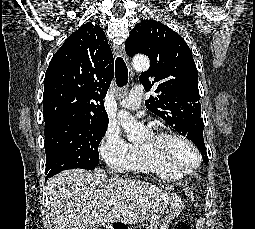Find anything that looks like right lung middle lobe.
I'll list each match as a JSON object with an SVG mask.
<instances>
[{
	"instance_id": "right-lung-middle-lobe-1",
	"label": "right lung middle lobe",
	"mask_w": 255,
	"mask_h": 229,
	"mask_svg": "<svg viewBox=\"0 0 255 229\" xmlns=\"http://www.w3.org/2000/svg\"><path fill=\"white\" fill-rule=\"evenodd\" d=\"M107 127V120L45 123L48 177L67 169H94L99 162L98 146Z\"/></svg>"
}]
</instances>
